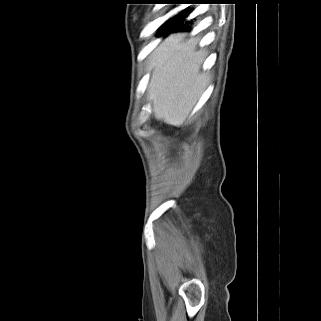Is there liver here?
<instances>
[{
    "label": "liver",
    "instance_id": "liver-1",
    "mask_svg": "<svg viewBox=\"0 0 321 321\" xmlns=\"http://www.w3.org/2000/svg\"><path fill=\"white\" fill-rule=\"evenodd\" d=\"M198 43V38L171 34L148 59V100L154 117L166 124L188 122L208 84L209 77L202 71L206 52Z\"/></svg>",
    "mask_w": 321,
    "mask_h": 321
}]
</instances>
